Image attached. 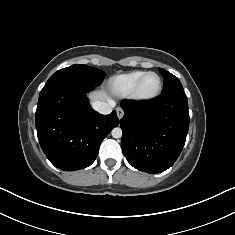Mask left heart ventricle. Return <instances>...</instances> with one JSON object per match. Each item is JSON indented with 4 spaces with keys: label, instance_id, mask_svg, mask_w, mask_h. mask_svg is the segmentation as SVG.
Masks as SVG:
<instances>
[{
    "label": "left heart ventricle",
    "instance_id": "1",
    "mask_svg": "<svg viewBox=\"0 0 235 235\" xmlns=\"http://www.w3.org/2000/svg\"><path fill=\"white\" fill-rule=\"evenodd\" d=\"M158 87V78L151 74L148 75L141 84L140 93L143 95H150L156 91Z\"/></svg>",
    "mask_w": 235,
    "mask_h": 235
}]
</instances>
